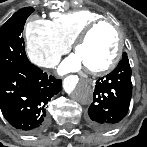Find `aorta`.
<instances>
[{
	"label": "aorta",
	"mask_w": 147,
	"mask_h": 147,
	"mask_svg": "<svg viewBox=\"0 0 147 147\" xmlns=\"http://www.w3.org/2000/svg\"><path fill=\"white\" fill-rule=\"evenodd\" d=\"M73 98L82 104H88L92 102L93 91L91 86L86 82H80L71 92Z\"/></svg>",
	"instance_id": "obj_1"
}]
</instances>
